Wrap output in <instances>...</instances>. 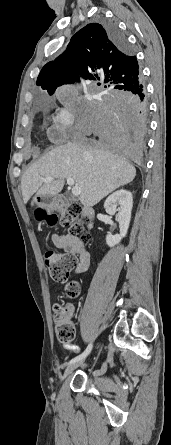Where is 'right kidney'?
<instances>
[{
	"label": "right kidney",
	"mask_w": 171,
	"mask_h": 445,
	"mask_svg": "<svg viewBox=\"0 0 171 445\" xmlns=\"http://www.w3.org/2000/svg\"><path fill=\"white\" fill-rule=\"evenodd\" d=\"M132 206V193L128 190H117L106 199L104 208L111 216L117 213L116 219L120 228V234L112 235L109 233L106 236V243L109 247L117 245L126 236L131 220Z\"/></svg>",
	"instance_id": "ca27d5eb"
}]
</instances>
